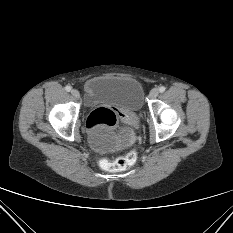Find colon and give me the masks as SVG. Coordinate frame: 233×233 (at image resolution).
Returning a JSON list of instances; mask_svg holds the SVG:
<instances>
[{"label":"colon","instance_id":"colon-1","mask_svg":"<svg viewBox=\"0 0 233 233\" xmlns=\"http://www.w3.org/2000/svg\"><path fill=\"white\" fill-rule=\"evenodd\" d=\"M117 116L114 111L108 108H98L91 112L87 119V127L113 128L116 125ZM136 161V153L131 151L126 155L113 161H103L102 165L109 171H123L130 168Z\"/></svg>","mask_w":233,"mask_h":233}]
</instances>
